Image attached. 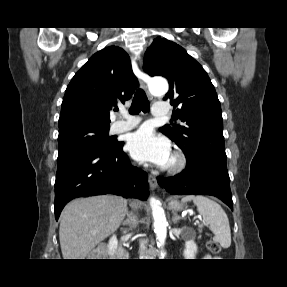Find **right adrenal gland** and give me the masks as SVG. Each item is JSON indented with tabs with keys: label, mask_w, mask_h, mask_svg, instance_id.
I'll return each mask as SVG.
<instances>
[{
	"label": "right adrenal gland",
	"mask_w": 287,
	"mask_h": 287,
	"mask_svg": "<svg viewBox=\"0 0 287 287\" xmlns=\"http://www.w3.org/2000/svg\"><path fill=\"white\" fill-rule=\"evenodd\" d=\"M124 225H129L133 229L137 225L136 217L132 212L127 211V218L123 221Z\"/></svg>",
	"instance_id": "right-adrenal-gland-1"
}]
</instances>
